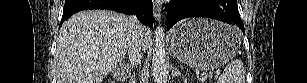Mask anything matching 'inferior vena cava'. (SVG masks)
<instances>
[{
    "mask_svg": "<svg viewBox=\"0 0 307 83\" xmlns=\"http://www.w3.org/2000/svg\"><path fill=\"white\" fill-rule=\"evenodd\" d=\"M130 26L132 30L131 37L127 45V53L132 67L135 68L141 64V44L138 29L141 24L136 20L134 16L130 17Z\"/></svg>",
    "mask_w": 307,
    "mask_h": 83,
    "instance_id": "1",
    "label": "inferior vena cava"
}]
</instances>
